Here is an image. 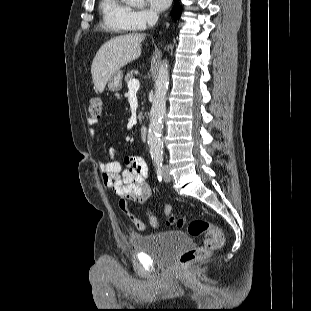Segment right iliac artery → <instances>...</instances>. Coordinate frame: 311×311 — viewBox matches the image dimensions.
<instances>
[{"label":"right iliac artery","instance_id":"obj_1","mask_svg":"<svg viewBox=\"0 0 311 311\" xmlns=\"http://www.w3.org/2000/svg\"><path fill=\"white\" fill-rule=\"evenodd\" d=\"M154 165L156 167L157 178L159 181H161L162 177H163L162 161L161 160H155Z\"/></svg>","mask_w":311,"mask_h":311}]
</instances>
